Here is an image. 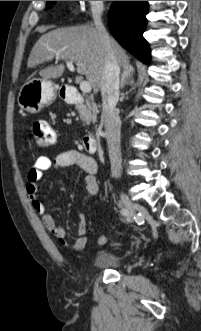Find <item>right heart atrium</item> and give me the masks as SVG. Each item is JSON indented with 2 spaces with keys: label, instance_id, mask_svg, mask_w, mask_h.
I'll return each instance as SVG.
<instances>
[{
  "label": "right heart atrium",
  "instance_id": "right-heart-atrium-1",
  "mask_svg": "<svg viewBox=\"0 0 201 331\" xmlns=\"http://www.w3.org/2000/svg\"><path fill=\"white\" fill-rule=\"evenodd\" d=\"M83 5L88 6L89 9L84 10L85 16H91L93 19L98 17L99 12L105 9L104 1H81Z\"/></svg>",
  "mask_w": 201,
  "mask_h": 331
}]
</instances>
